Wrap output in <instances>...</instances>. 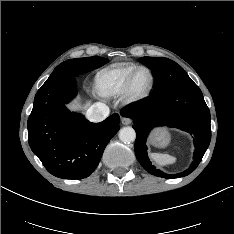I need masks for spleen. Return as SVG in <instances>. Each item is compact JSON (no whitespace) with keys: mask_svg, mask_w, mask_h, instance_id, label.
Segmentation results:
<instances>
[{"mask_svg":"<svg viewBox=\"0 0 234 234\" xmlns=\"http://www.w3.org/2000/svg\"><path fill=\"white\" fill-rule=\"evenodd\" d=\"M150 158L158 166L173 164L176 161V157L163 153H151Z\"/></svg>","mask_w":234,"mask_h":234,"instance_id":"3e777b00","label":"spleen"}]
</instances>
